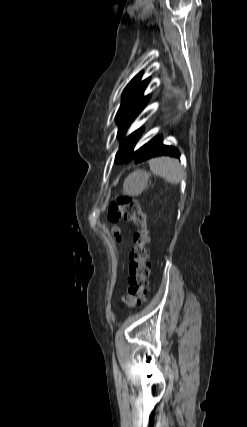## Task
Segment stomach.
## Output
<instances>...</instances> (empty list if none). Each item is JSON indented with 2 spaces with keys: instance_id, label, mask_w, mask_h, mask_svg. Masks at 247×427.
Returning <instances> with one entry per match:
<instances>
[{
  "instance_id": "1",
  "label": "stomach",
  "mask_w": 247,
  "mask_h": 427,
  "mask_svg": "<svg viewBox=\"0 0 247 427\" xmlns=\"http://www.w3.org/2000/svg\"><path fill=\"white\" fill-rule=\"evenodd\" d=\"M149 175L142 171L136 170L129 174L123 184V193L129 196L140 195L147 187Z\"/></svg>"
}]
</instances>
